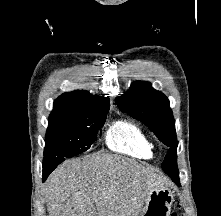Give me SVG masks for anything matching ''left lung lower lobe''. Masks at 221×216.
<instances>
[{
    "mask_svg": "<svg viewBox=\"0 0 221 216\" xmlns=\"http://www.w3.org/2000/svg\"><path fill=\"white\" fill-rule=\"evenodd\" d=\"M174 182H175L178 186H180L179 179H178V180H174Z\"/></svg>",
    "mask_w": 221,
    "mask_h": 216,
    "instance_id": "left-lung-lower-lobe-1",
    "label": "left lung lower lobe"
}]
</instances>
